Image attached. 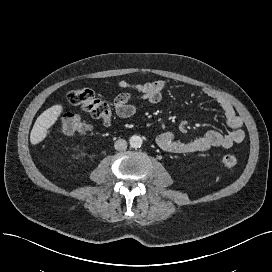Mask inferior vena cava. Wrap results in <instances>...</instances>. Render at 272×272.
Returning <instances> with one entry per match:
<instances>
[{"instance_id": "602c4592", "label": "inferior vena cava", "mask_w": 272, "mask_h": 272, "mask_svg": "<svg viewBox=\"0 0 272 272\" xmlns=\"http://www.w3.org/2000/svg\"><path fill=\"white\" fill-rule=\"evenodd\" d=\"M114 147L116 150H125L127 148V142L123 139H118L115 144Z\"/></svg>"}]
</instances>
